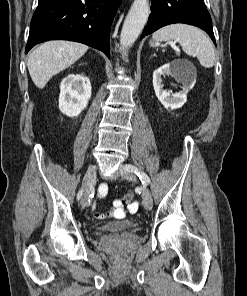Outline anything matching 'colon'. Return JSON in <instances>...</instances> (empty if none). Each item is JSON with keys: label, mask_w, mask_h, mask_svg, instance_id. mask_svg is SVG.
Here are the masks:
<instances>
[{"label": "colon", "mask_w": 247, "mask_h": 296, "mask_svg": "<svg viewBox=\"0 0 247 296\" xmlns=\"http://www.w3.org/2000/svg\"><path fill=\"white\" fill-rule=\"evenodd\" d=\"M134 198V193L129 191L127 192L122 199L117 200V205L118 206H123L125 204H129ZM113 215V214H112ZM122 215V212H116L113 216L114 217H120Z\"/></svg>", "instance_id": "1"}]
</instances>
